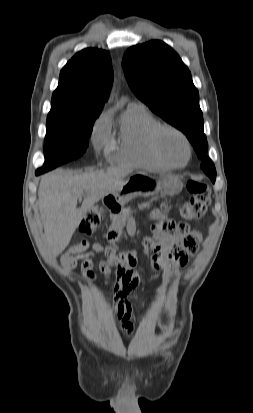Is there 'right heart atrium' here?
Wrapping results in <instances>:
<instances>
[{
	"label": "right heart atrium",
	"instance_id": "obj_1",
	"mask_svg": "<svg viewBox=\"0 0 253 413\" xmlns=\"http://www.w3.org/2000/svg\"><path fill=\"white\" fill-rule=\"evenodd\" d=\"M92 143L96 151H100L110 144L109 132L103 119L99 120L94 128Z\"/></svg>",
	"mask_w": 253,
	"mask_h": 413
}]
</instances>
